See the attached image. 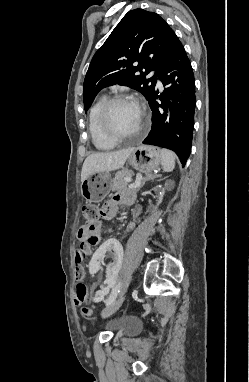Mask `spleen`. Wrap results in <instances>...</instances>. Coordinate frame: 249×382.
<instances>
[{"label": "spleen", "instance_id": "spleen-1", "mask_svg": "<svg viewBox=\"0 0 249 382\" xmlns=\"http://www.w3.org/2000/svg\"><path fill=\"white\" fill-rule=\"evenodd\" d=\"M161 164L165 172H171L175 168V154L168 149H161Z\"/></svg>", "mask_w": 249, "mask_h": 382}]
</instances>
